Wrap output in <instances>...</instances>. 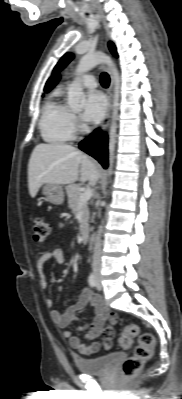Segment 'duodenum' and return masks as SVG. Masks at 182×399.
I'll use <instances>...</instances> for the list:
<instances>
[{
	"mask_svg": "<svg viewBox=\"0 0 182 399\" xmlns=\"http://www.w3.org/2000/svg\"><path fill=\"white\" fill-rule=\"evenodd\" d=\"M81 238H82V241H83L84 243L88 242L89 233H88L87 231H84V232L82 233V235H81Z\"/></svg>",
	"mask_w": 182,
	"mask_h": 399,
	"instance_id": "410a0bca",
	"label": "duodenum"
}]
</instances>
